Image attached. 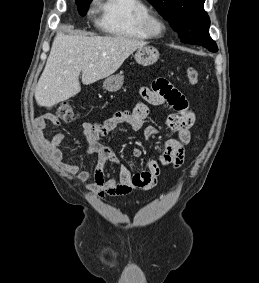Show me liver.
<instances>
[{"mask_svg":"<svg viewBox=\"0 0 259 283\" xmlns=\"http://www.w3.org/2000/svg\"><path fill=\"white\" fill-rule=\"evenodd\" d=\"M146 42L124 36H84L57 33L46 66L35 89L39 106L51 107L115 73ZM92 64V66H90Z\"/></svg>","mask_w":259,"mask_h":283,"instance_id":"1","label":"liver"}]
</instances>
